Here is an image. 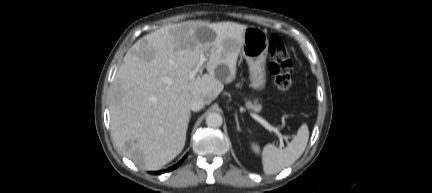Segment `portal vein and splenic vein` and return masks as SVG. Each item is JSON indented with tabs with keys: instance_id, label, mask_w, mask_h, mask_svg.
Segmentation results:
<instances>
[{
	"instance_id": "portal-vein-and-splenic-vein-1",
	"label": "portal vein and splenic vein",
	"mask_w": 432,
	"mask_h": 193,
	"mask_svg": "<svg viewBox=\"0 0 432 193\" xmlns=\"http://www.w3.org/2000/svg\"><path fill=\"white\" fill-rule=\"evenodd\" d=\"M206 60H207L206 57H205L203 54H201L198 65H197L196 68H195V69L190 73V78H191V79L195 78V76L197 75V73H198L199 71H201V67H202V65L205 63ZM164 81H165L166 83H172V80H171L170 78H165ZM251 116H252L256 121H258L260 124H262L266 129H268L270 132H274V133L279 137V140H280V146H281V147H284L283 138H285V137H284V136L279 132V130H278L277 128H275V127H273L272 125H270V124H269V123H268L264 118H262L261 116L255 114V113H251Z\"/></svg>"
}]
</instances>
